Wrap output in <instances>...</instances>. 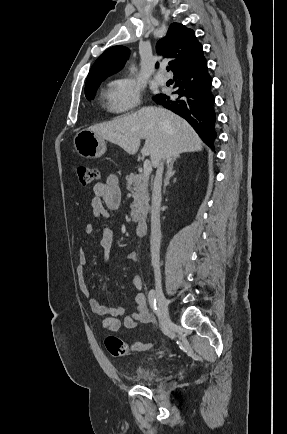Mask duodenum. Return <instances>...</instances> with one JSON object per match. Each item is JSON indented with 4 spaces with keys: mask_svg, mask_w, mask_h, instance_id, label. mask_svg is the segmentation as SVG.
Listing matches in <instances>:
<instances>
[{
    "mask_svg": "<svg viewBox=\"0 0 287 434\" xmlns=\"http://www.w3.org/2000/svg\"><path fill=\"white\" fill-rule=\"evenodd\" d=\"M147 229H148L147 221L146 220H140L137 224V227H136V236L138 238L145 237L147 234Z\"/></svg>",
    "mask_w": 287,
    "mask_h": 434,
    "instance_id": "410a0bca",
    "label": "duodenum"
}]
</instances>
